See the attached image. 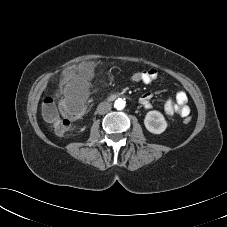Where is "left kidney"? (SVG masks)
Masks as SVG:
<instances>
[{
	"label": "left kidney",
	"mask_w": 227,
	"mask_h": 227,
	"mask_svg": "<svg viewBox=\"0 0 227 227\" xmlns=\"http://www.w3.org/2000/svg\"><path fill=\"white\" fill-rule=\"evenodd\" d=\"M144 125L146 129L153 134H161L167 128V122L163 114L156 110L147 112Z\"/></svg>",
	"instance_id": "5707ae66"
}]
</instances>
